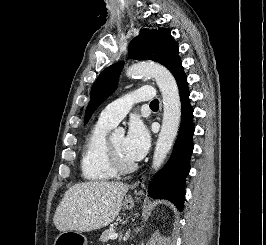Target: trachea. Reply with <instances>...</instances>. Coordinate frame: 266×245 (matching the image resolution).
Segmentation results:
<instances>
[{
  "label": "trachea",
  "instance_id": "1",
  "mask_svg": "<svg viewBox=\"0 0 266 245\" xmlns=\"http://www.w3.org/2000/svg\"><path fill=\"white\" fill-rule=\"evenodd\" d=\"M150 105H159V102L157 99H155V100H152Z\"/></svg>",
  "mask_w": 266,
  "mask_h": 245
}]
</instances>
